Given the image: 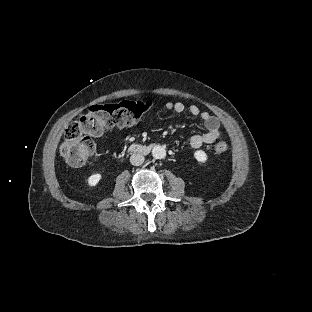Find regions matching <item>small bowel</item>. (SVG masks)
I'll use <instances>...</instances> for the list:
<instances>
[{"instance_id":"1","label":"small bowel","mask_w":312,"mask_h":312,"mask_svg":"<svg viewBox=\"0 0 312 312\" xmlns=\"http://www.w3.org/2000/svg\"><path fill=\"white\" fill-rule=\"evenodd\" d=\"M165 107L166 109L172 110L179 115L185 113V111L187 110L191 116L199 117L203 122L207 131L202 134H195L190 138L189 144L192 148H199L204 144L214 143L220 138V120L209 112L202 111L198 105L192 104L187 109L182 102L177 101L167 102Z\"/></svg>"}]
</instances>
